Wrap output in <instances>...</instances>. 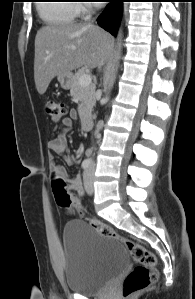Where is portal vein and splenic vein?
Returning a JSON list of instances; mask_svg holds the SVG:
<instances>
[{"instance_id": "18ae733b", "label": "portal vein and splenic vein", "mask_w": 195, "mask_h": 299, "mask_svg": "<svg viewBox=\"0 0 195 299\" xmlns=\"http://www.w3.org/2000/svg\"><path fill=\"white\" fill-rule=\"evenodd\" d=\"M92 82V77L89 74H84L80 77L79 83L81 86H88Z\"/></svg>"}]
</instances>
